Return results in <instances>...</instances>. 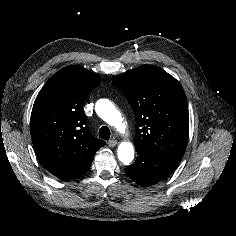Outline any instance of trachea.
Masks as SVG:
<instances>
[{"mask_svg": "<svg viewBox=\"0 0 236 236\" xmlns=\"http://www.w3.org/2000/svg\"><path fill=\"white\" fill-rule=\"evenodd\" d=\"M110 134V130L106 126H102L99 130V137L104 140H108L110 138Z\"/></svg>", "mask_w": 236, "mask_h": 236, "instance_id": "3493384b", "label": "trachea"}]
</instances>
